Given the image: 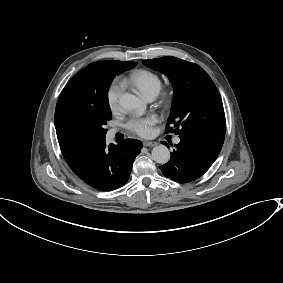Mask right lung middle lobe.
I'll list each match as a JSON object with an SVG mask.
<instances>
[{
	"label": "right lung middle lobe",
	"instance_id": "1",
	"mask_svg": "<svg viewBox=\"0 0 283 283\" xmlns=\"http://www.w3.org/2000/svg\"><path fill=\"white\" fill-rule=\"evenodd\" d=\"M133 67L135 65L123 68L117 74H121ZM77 114L79 120L87 129L105 138L107 129L104 126L112 117L107 95L102 99L83 105L78 109Z\"/></svg>",
	"mask_w": 283,
	"mask_h": 283
}]
</instances>
